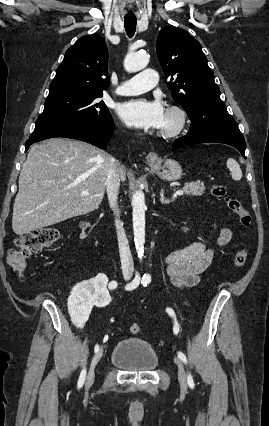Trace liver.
<instances>
[{
    "mask_svg": "<svg viewBox=\"0 0 269 426\" xmlns=\"http://www.w3.org/2000/svg\"><path fill=\"white\" fill-rule=\"evenodd\" d=\"M112 159L79 140L50 138L33 145L19 176L12 217L14 233L28 234L97 209ZM119 173L125 181L121 166ZM85 190L89 195L82 196Z\"/></svg>",
    "mask_w": 269,
    "mask_h": 426,
    "instance_id": "6515ba94",
    "label": "liver"
}]
</instances>
